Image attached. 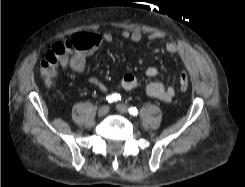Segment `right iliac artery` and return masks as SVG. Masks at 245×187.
Instances as JSON below:
<instances>
[{"instance_id": "right-iliac-artery-1", "label": "right iliac artery", "mask_w": 245, "mask_h": 187, "mask_svg": "<svg viewBox=\"0 0 245 187\" xmlns=\"http://www.w3.org/2000/svg\"><path fill=\"white\" fill-rule=\"evenodd\" d=\"M106 99L108 100L109 103H112V102H117V101L121 100V96L118 93H113V94L107 96Z\"/></svg>"}]
</instances>
